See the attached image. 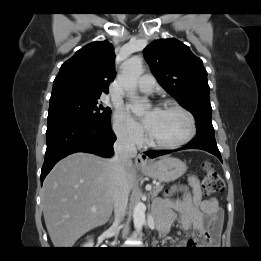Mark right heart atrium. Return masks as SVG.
I'll return each instance as SVG.
<instances>
[{"mask_svg": "<svg viewBox=\"0 0 261 261\" xmlns=\"http://www.w3.org/2000/svg\"><path fill=\"white\" fill-rule=\"evenodd\" d=\"M113 130L117 138L126 145H138L143 140L140 128L120 107L115 110L113 115Z\"/></svg>", "mask_w": 261, "mask_h": 261, "instance_id": "right-heart-atrium-1", "label": "right heart atrium"}]
</instances>
